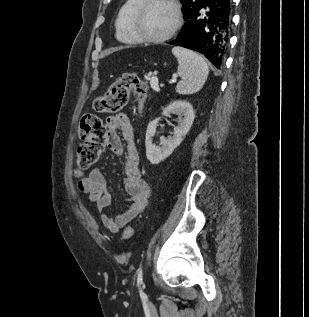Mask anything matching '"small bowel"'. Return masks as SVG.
<instances>
[{"label":"small bowel","instance_id":"1","mask_svg":"<svg viewBox=\"0 0 309 317\" xmlns=\"http://www.w3.org/2000/svg\"><path fill=\"white\" fill-rule=\"evenodd\" d=\"M106 125L108 128L106 145L112 152L116 155L124 154V145L119 133L127 143L123 187L127 194L125 202L129 204V207L116 217L106 213L105 209L111 203V195L107 188L106 178L99 169H93L87 177L81 179L78 189L96 205L103 225L115 233L144 211L148 204L150 188L141 173L139 152L134 142L129 117L124 113L108 116Z\"/></svg>","mask_w":309,"mask_h":317}]
</instances>
